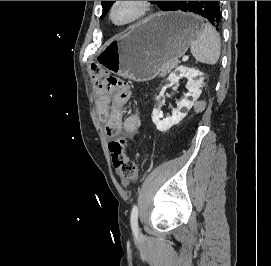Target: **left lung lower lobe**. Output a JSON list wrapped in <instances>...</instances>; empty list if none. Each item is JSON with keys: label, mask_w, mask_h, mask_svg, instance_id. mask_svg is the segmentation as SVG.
Listing matches in <instances>:
<instances>
[{"label": "left lung lower lobe", "mask_w": 271, "mask_h": 266, "mask_svg": "<svg viewBox=\"0 0 271 266\" xmlns=\"http://www.w3.org/2000/svg\"><path fill=\"white\" fill-rule=\"evenodd\" d=\"M162 10L193 12L206 18L217 30L221 23L219 1H170Z\"/></svg>", "instance_id": "0a47b994"}]
</instances>
